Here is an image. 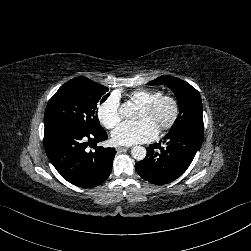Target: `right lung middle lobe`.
<instances>
[{"label":"right lung middle lobe","mask_w":251,"mask_h":251,"mask_svg":"<svg viewBox=\"0 0 251 251\" xmlns=\"http://www.w3.org/2000/svg\"><path fill=\"white\" fill-rule=\"evenodd\" d=\"M108 88L86 77H76L65 83L49 100L44 124L64 122L84 130L101 127L95 112L97 103L109 96Z\"/></svg>","instance_id":"obj_1"}]
</instances>
